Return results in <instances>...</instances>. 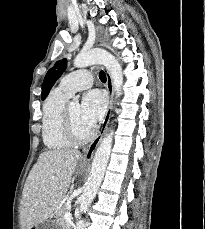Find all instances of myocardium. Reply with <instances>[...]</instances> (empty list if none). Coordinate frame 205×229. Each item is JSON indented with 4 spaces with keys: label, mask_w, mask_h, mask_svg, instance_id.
<instances>
[{
    "label": "myocardium",
    "mask_w": 205,
    "mask_h": 229,
    "mask_svg": "<svg viewBox=\"0 0 205 229\" xmlns=\"http://www.w3.org/2000/svg\"><path fill=\"white\" fill-rule=\"evenodd\" d=\"M70 104H66L63 109L62 114V129L65 137L72 143V144H83L88 142L95 134V129L93 127L84 134L81 135L77 132L71 113H70Z\"/></svg>",
    "instance_id": "f54148a6"
}]
</instances>
